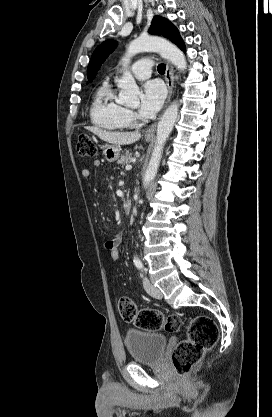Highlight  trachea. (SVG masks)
Returning <instances> with one entry per match:
<instances>
[{"label": "trachea", "mask_w": 272, "mask_h": 417, "mask_svg": "<svg viewBox=\"0 0 272 417\" xmlns=\"http://www.w3.org/2000/svg\"><path fill=\"white\" fill-rule=\"evenodd\" d=\"M165 69H166V66L164 64H159L158 65V72L159 73H165Z\"/></svg>", "instance_id": "1"}]
</instances>
